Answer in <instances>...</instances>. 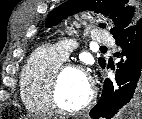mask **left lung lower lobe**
I'll list each match as a JSON object with an SVG mask.
<instances>
[{
	"mask_svg": "<svg viewBox=\"0 0 142 119\" xmlns=\"http://www.w3.org/2000/svg\"><path fill=\"white\" fill-rule=\"evenodd\" d=\"M114 38L124 59L117 64L116 84L109 79L104 81L102 95L90 111L95 119H111L120 111H142V18Z\"/></svg>",
	"mask_w": 142,
	"mask_h": 119,
	"instance_id": "1",
	"label": "left lung lower lobe"
}]
</instances>
